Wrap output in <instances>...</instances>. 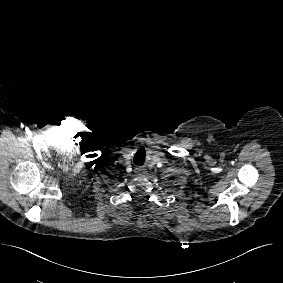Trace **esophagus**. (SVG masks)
I'll return each instance as SVG.
<instances>
[{
    "mask_svg": "<svg viewBox=\"0 0 283 283\" xmlns=\"http://www.w3.org/2000/svg\"><path fill=\"white\" fill-rule=\"evenodd\" d=\"M138 171L137 172H141V169H137Z\"/></svg>",
    "mask_w": 283,
    "mask_h": 283,
    "instance_id": "1",
    "label": "esophagus"
}]
</instances>
